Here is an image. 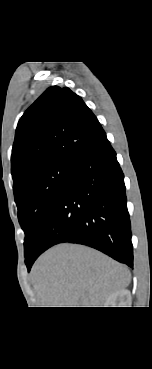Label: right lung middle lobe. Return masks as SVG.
Masks as SVG:
<instances>
[{"instance_id": "1", "label": "right lung middle lobe", "mask_w": 152, "mask_h": 369, "mask_svg": "<svg viewBox=\"0 0 152 369\" xmlns=\"http://www.w3.org/2000/svg\"><path fill=\"white\" fill-rule=\"evenodd\" d=\"M71 162H56L25 176L14 189L18 219L25 233V261L33 254L43 227L64 185Z\"/></svg>"}]
</instances>
